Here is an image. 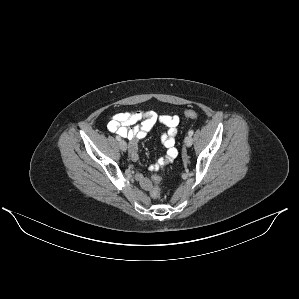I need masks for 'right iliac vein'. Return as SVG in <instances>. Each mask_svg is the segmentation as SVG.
Returning <instances> with one entry per match:
<instances>
[{"instance_id": "obj_1", "label": "right iliac vein", "mask_w": 299, "mask_h": 299, "mask_svg": "<svg viewBox=\"0 0 299 299\" xmlns=\"http://www.w3.org/2000/svg\"><path fill=\"white\" fill-rule=\"evenodd\" d=\"M119 147L122 151H126L127 150V143L124 140H120L119 141Z\"/></svg>"}]
</instances>
